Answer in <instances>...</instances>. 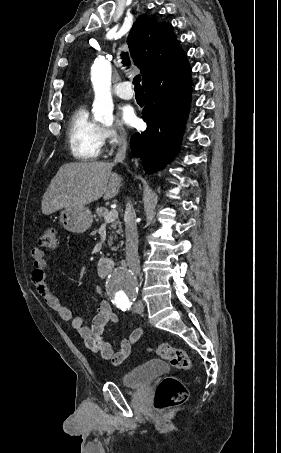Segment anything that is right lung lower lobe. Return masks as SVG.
Wrapping results in <instances>:
<instances>
[{
  "instance_id": "1",
  "label": "right lung lower lobe",
  "mask_w": 281,
  "mask_h": 453,
  "mask_svg": "<svg viewBox=\"0 0 281 453\" xmlns=\"http://www.w3.org/2000/svg\"><path fill=\"white\" fill-rule=\"evenodd\" d=\"M147 129L131 138V150L145 171L162 168L177 152L190 108L192 83L184 52L142 80Z\"/></svg>"
}]
</instances>
